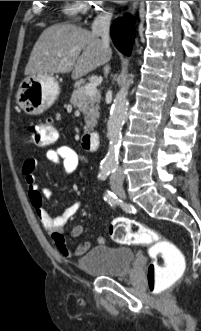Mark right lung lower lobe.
I'll use <instances>...</instances> for the list:
<instances>
[{
  "label": "right lung lower lobe",
  "instance_id": "1",
  "mask_svg": "<svg viewBox=\"0 0 201 331\" xmlns=\"http://www.w3.org/2000/svg\"><path fill=\"white\" fill-rule=\"evenodd\" d=\"M111 36L114 45L125 55H130L134 40V23L130 15H125L113 22Z\"/></svg>",
  "mask_w": 201,
  "mask_h": 331
}]
</instances>
